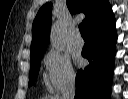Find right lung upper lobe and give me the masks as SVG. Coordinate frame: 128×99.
Listing matches in <instances>:
<instances>
[{
	"instance_id": "right-lung-upper-lobe-1",
	"label": "right lung upper lobe",
	"mask_w": 128,
	"mask_h": 99,
	"mask_svg": "<svg viewBox=\"0 0 128 99\" xmlns=\"http://www.w3.org/2000/svg\"><path fill=\"white\" fill-rule=\"evenodd\" d=\"M70 13H84V22L90 25L110 5L107 0H66ZM52 3H47L38 11L32 25V43L30 58L45 52L49 43L52 22Z\"/></svg>"
}]
</instances>
